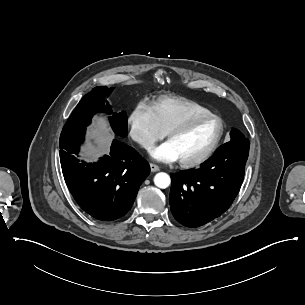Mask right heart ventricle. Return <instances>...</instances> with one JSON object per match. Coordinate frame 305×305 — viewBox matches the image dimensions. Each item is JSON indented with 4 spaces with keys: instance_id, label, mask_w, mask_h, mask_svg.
<instances>
[{
    "instance_id": "right-heart-ventricle-1",
    "label": "right heart ventricle",
    "mask_w": 305,
    "mask_h": 305,
    "mask_svg": "<svg viewBox=\"0 0 305 305\" xmlns=\"http://www.w3.org/2000/svg\"><path fill=\"white\" fill-rule=\"evenodd\" d=\"M151 106L160 126L165 132L186 118L209 112L206 107L178 96L162 97Z\"/></svg>"
}]
</instances>
